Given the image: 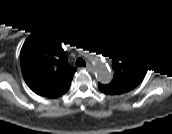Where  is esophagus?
Returning <instances> with one entry per match:
<instances>
[{"mask_svg": "<svg viewBox=\"0 0 172 134\" xmlns=\"http://www.w3.org/2000/svg\"><path fill=\"white\" fill-rule=\"evenodd\" d=\"M86 68H87L88 70H90V71H91V69H92V65H91V63H90V62H87V63H86Z\"/></svg>", "mask_w": 172, "mask_h": 134, "instance_id": "obj_1", "label": "esophagus"}]
</instances>
